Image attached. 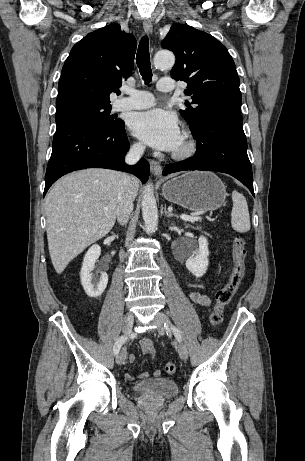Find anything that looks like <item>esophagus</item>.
I'll return each instance as SVG.
<instances>
[{
	"label": "esophagus",
	"mask_w": 305,
	"mask_h": 461,
	"mask_svg": "<svg viewBox=\"0 0 305 461\" xmlns=\"http://www.w3.org/2000/svg\"><path fill=\"white\" fill-rule=\"evenodd\" d=\"M143 28L148 34H152L153 32V26L152 23L149 19H144L143 21ZM150 169L151 172L154 176L159 177L162 171V167L159 162L155 160L150 161Z\"/></svg>",
	"instance_id": "1"
}]
</instances>
